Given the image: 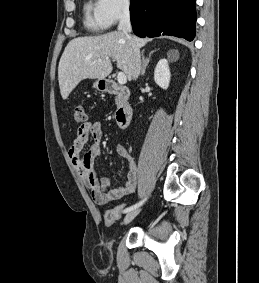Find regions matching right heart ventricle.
<instances>
[{
    "label": "right heart ventricle",
    "mask_w": 259,
    "mask_h": 283,
    "mask_svg": "<svg viewBox=\"0 0 259 283\" xmlns=\"http://www.w3.org/2000/svg\"><path fill=\"white\" fill-rule=\"evenodd\" d=\"M85 22L95 32H101L106 28L98 14L97 5H93L91 2H88L85 6Z\"/></svg>",
    "instance_id": "right-heart-ventricle-1"
}]
</instances>
